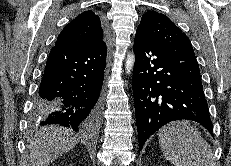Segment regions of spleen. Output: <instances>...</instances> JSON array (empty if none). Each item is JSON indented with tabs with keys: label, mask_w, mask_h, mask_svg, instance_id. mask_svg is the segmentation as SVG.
<instances>
[{
	"label": "spleen",
	"mask_w": 231,
	"mask_h": 166,
	"mask_svg": "<svg viewBox=\"0 0 231 166\" xmlns=\"http://www.w3.org/2000/svg\"><path fill=\"white\" fill-rule=\"evenodd\" d=\"M158 141L164 157L174 166H215L210 145L188 121L165 125L158 132Z\"/></svg>",
	"instance_id": "spleen-1"
}]
</instances>
